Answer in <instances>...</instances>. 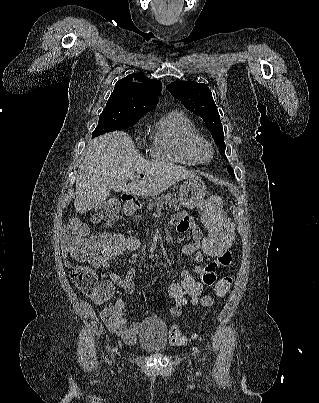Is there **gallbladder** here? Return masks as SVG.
<instances>
[{
    "label": "gallbladder",
    "mask_w": 319,
    "mask_h": 403,
    "mask_svg": "<svg viewBox=\"0 0 319 403\" xmlns=\"http://www.w3.org/2000/svg\"><path fill=\"white\" fill-rule=\"evenodd\" d=\"M103 207L105 209L107 208V211H117L119 209V204L117 200H109L108 202L103 204Z\"/></svg>",
    "instance_id": "obj_1"
}]
</instances>
